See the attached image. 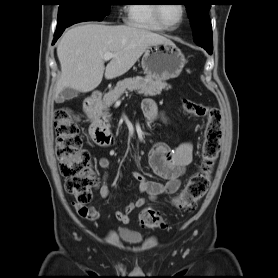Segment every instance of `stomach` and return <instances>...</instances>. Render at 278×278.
<instances>
[{
    "label": "stomach",
    "instance_id": "0dacf381",
    "mask_svg": "<svg viewBox=\"0 0 278 278\" xmlns=\"http://www.w3.org/2000/svg\"><path fill=\"white\" fill-rule=\"evenodd\" d=\"M185 64L184 54L171 41L148 46L141 61L144 73L160 80L178 77Z\"/></svg>",
    "mask_w": 278,
    "mask_h": 278
}]
</instances>
